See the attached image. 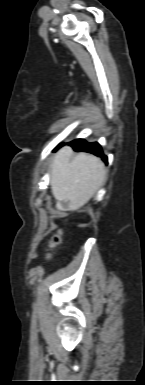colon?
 Here are the masks:
<instances>
[{
	"label": "colon",
	"mask_w": 145,
	"mask_h": 385,
	"mask_svg": "<svg viewBox=\"0 0 145 385\" xmlns=\"http://www.w3.org/2000/svg\"><path fill=\"white\" fill-rule=\"evenodd\" d=\"M60 242H61V233L57 232L51 236V238L49 240V245L51 247H55V246L59 245Z\"/></svg>",
	"instance_id": "5ec220e1"
}]
</instances>
